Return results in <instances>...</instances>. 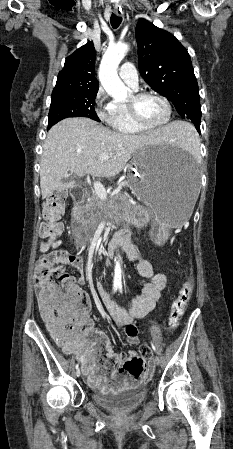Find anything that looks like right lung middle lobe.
Returning a JSON list of instances; mask_svg holds the SVG:
<instances>
[{
	"instance_id": "right-lung-middle-lobe-1",
	"label": "right lung middle lobe",
	"mask_w": 233,
	"mask_h": 449,
	"mask_svg": "<svg viewBox=\"0 0 233 449\" xmlns=\"http://www.w3.org/2000/svg\"><path fill=\"white\" fill-rule=\"evenodd\" d=\"M97 92H64L52 94L48 128L64 118L76 116L88 117L100 122L94 109Z\"/></svg>"
}]
</instances>
